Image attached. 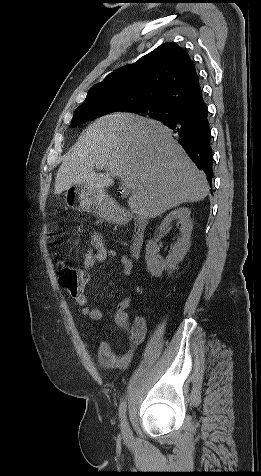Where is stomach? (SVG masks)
Listing matches in <instances>:
<instances>
[{"instance_id": "stomach-1", "label": "stomach", "mask_w": 261, "mask_h": 476, "mask_svg": "<svg viewBox=\"0 0 261 476\" xmlns=\"http://www.w3.org/2000/svg\"><path fill=\"white\" fill-rule=\"evenodd\" d=\"M67 206L81 212H92L108 220H115L113 200L105 193L86 185L71 186L65 192Z\"/></svg>"}]
</instances>
